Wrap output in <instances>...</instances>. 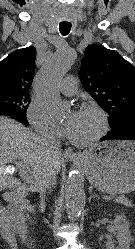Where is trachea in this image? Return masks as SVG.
<instances>
[{"label": "trachea", "instance_id": "3493384b", "mask_svg": "<svg viewBox=\"0 0 135 249\" xmlns=\"http://www.w3.org/2000/svg\"><path fill=\"white\" fill-rule=\"evenodd\" d=\"M70 30H71V23L61 22L59 24V31L63 36L68 35Z\"/></svg>", "mask_w": 135, "mask_h": 249}]
</instances>
